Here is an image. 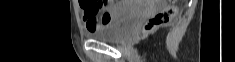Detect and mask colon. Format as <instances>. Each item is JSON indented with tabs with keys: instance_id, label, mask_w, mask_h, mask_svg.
Masks as SVG:
<instances>
[{
	"instance_id": "5ec220e1",
	"label": "colon",
	"mask_w": 235,
	"mask_h": 62,
	"mask_svg": "<svg viewBox=\"0 0 235 62\" xmlns=\"http://www.w3.org/2000/svg\"><path fill=\"white\" fill-rule=\"evenodd\" d=\"M102 9V4L96 1H91L89 4V13L98 14ZM177 8L174 5H170L163 9L162 11L151 17L144 26L146 32H151L167 23H169L172 18L176 15ZM107 13L103 14L105 16ZM109 22V21H108ZM106 24V23H105Z\"/></svg>"
}]
</instances>
